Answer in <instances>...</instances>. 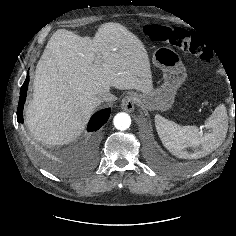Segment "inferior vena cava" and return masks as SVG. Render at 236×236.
Listing matches in <instances>:
<instances>
[{"instance_id": "inferior-vena-cava-1", "label": "inferior vena cava", "mask_w": 236, "mask_h": 236, "mask_svg": "<svg viewBox=\"0 0 236 236\" xmlns=\"http://www.w3.org/2000/svg\"><path fill=\"white\" fill-rule=\"evenodd\" d=\"M116 99H117V97L114 96L110 92H105L101 95V100L105 101V102H112V101H115Z\"/></svg>"}]
</instances>
